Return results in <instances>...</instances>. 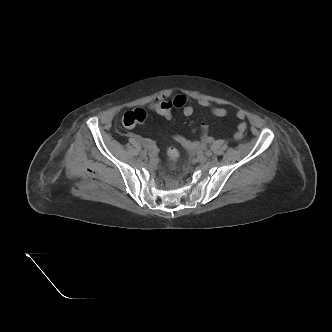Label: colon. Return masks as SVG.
<instances>
[{"instance_id":"1","label":"colon","mask_w":332,"mask_h":332,"mask_svg":"<svg viewBox=\"0 0 332 332\" xmlns=\"http://www.w3.org/2000/svg\"><path fill=\"white\" fill-rule=\"evenodd\" d=\"M164 117L168 120H173V111H170L168 108H166V111L164 112ZM146 118L147 114L144 110L135 109L128 111L124 114L122 118V123L125 127L131 128L137 124L144 122ZM167 153L169 159L172 161H175L178 157V151L173 147L169 148Z\"/></svg>"}]
</instances>
